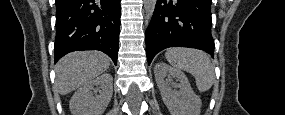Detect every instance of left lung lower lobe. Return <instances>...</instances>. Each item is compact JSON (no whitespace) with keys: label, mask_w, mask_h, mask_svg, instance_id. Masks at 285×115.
<instances>
[{"label":"left lung lower lobe","mask_w":285,"mask_h":115,"mask_svg":"<svg viewBox=\"0 0 285 115\" xmlns=\"http://www.w3.org/2000/svg\"><path fill=\"white\" fill-rule=\"evenodd\" d=\"M211 0H158L146 30L148 64L168 47H190L213 55Z\"/></svg>","instance_id":"left-lung-lower-lobe-1"}]
</instances>
